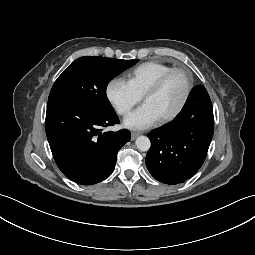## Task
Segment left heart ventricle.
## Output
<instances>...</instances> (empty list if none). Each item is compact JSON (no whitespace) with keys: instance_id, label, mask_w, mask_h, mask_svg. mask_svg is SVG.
<instances>
[{"instance_id":"b2bd125f","label":"left heart ventricle","mask_w":255,"mask_h":255,"mask_svg":"<svg viewBox=\"0 0 255 255\" xmlns=\"http://www.w3.org/2000/svg\"><path fill=\"white\" fill-rule=\"evenodd\" d=\"M185 90L186 78L182 73L176 72L165 81L158 92L148 96L146 102L150 103L162 118L178 107Z\"/></svg>"}]
</instances>
